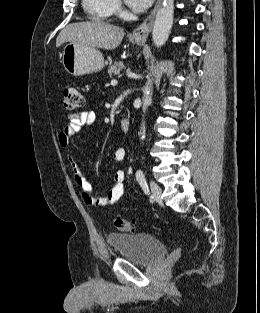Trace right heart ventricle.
<instances>
[{"instance_id":"e07e8e85","label":"right heart ventricle","mask_w":260,"mask_h":313,"mask_svg":"<svg viewBox=\"0 0 260 313\" xmlns=\"http://www.w3.org/2000/svg\"><path fill=\"white\" fill-rule=\"evenodd\" d=\"M83 5L90 17L97 21L107 20L114 12L112 0H83Z\"/></svg>"}]
</instances>
